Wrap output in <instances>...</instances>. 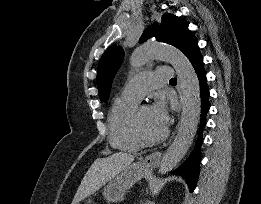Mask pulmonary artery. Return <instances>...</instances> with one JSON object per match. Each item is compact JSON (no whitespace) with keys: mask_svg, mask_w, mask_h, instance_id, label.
Returning <instances> with one entry per match:
<instances>
[{"mask_svg":"<svg viewBox=\"0 0 261 204\" xmlns=\"http://www.w3.org/2000/svg\"><path fill=\"white\" fill-rule=\"evenodd\" d=\"M172 74L169 67L140 72L124 87L121 97L139 102L149 90L168 82Z\"/></svg>","mask_w":261,"mask_h":204,"instance_id":"e3ab8cb5","label":"pulmonary artery"}]
</instances>
